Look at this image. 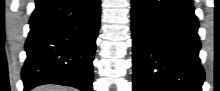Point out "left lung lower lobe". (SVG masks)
I'll return each instance as SVG.
<instances>
[{"instance_id": "left-lung-lower-lobe-1", "label": "left lung lower lobe", "mask_w": 220, "mask_h": 91, "mask_svg": "<svg viewBox=\"0 0 220 91\" xmlns=\"http://www.w3.org/2000/svg\"><path fill=\"white\" fill-rule=\"evenodd\" d=\"M133 91H201L192 0H132Z\"/></svg>"}]
</instances>
